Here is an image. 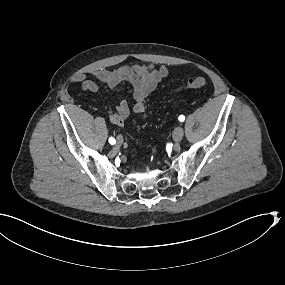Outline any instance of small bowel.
Listing matches in <instances>:
<instances>
[{
	"label": "small bowel",
	"mask_w": 285,
	"mask_h": 285,
	"mask_svg": "<svg viewBox=\"0 0 285 285\" xmlns=\"http://www.w3.org/2000/svg\"><path fill=\"white\" fill-rule=\"evenodd\" d=\"M170 69L166 66L159 68L154 65L133 64L122 66L114 70L100 69L92 72L93 77L109 87H115L122 82H128L133 87V106L135 113L139 114L142 120L147 118L146 99L155 90L160 81L167 77ZM84 92H97L98 84L79 74L74 78ZM130 112V106L126 100H121L114 109L108 110L110 121L118 127L124 126V121Z\"/></svg>",
	"instance_id": "small-bowel-1"
}]
</instances>
